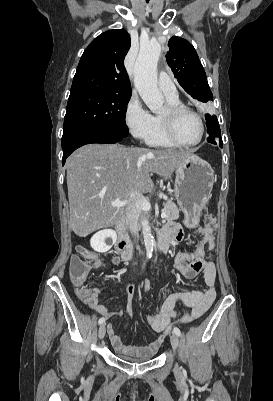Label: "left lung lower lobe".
I'll return each mask as SVG.
<instances>
[{"instance_id":"obj_1","label":"left lung lower lobe","mask_w":273,"mask_h":401,"mask_svg":"<svg viewBox=\"0 0 273 401\" xmlns=\"http://www.w3.org/2000/svg\"><path fill=\"white\" fill-rule=\"evenodd\" d=\"M206 125H207V131L209 133L207 141L215 145L219 144V146L222 148L223 143L221 139V132L216 116L215 115L211 116L210 114H206ZM216 137H219L218 142L216 141Z\"/></svg>"}]
</instances>
